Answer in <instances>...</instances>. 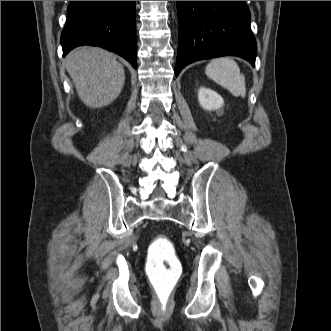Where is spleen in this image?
<instances>
[{
    "mask_svg": "<svg viewBox=\"0 0 331 331\" xmlns=\"http://www.w3.org/2000/svg\"><path fill=\"white\" fill-rule=\"evenodd\" d=\"M205 73L216 83L228 89L232 95L245 97V78L233 59L228 57L215 58L206 66Z\"/></svg>",
    "mask_w": 331,
    "mask_h": 331,
    "instance_id": "1",
    "label": "spleen"
}]
</instances>
